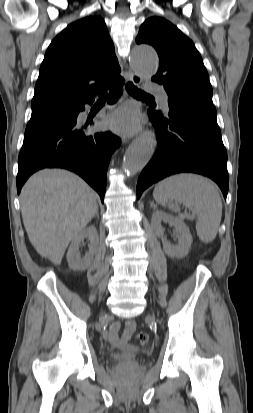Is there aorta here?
<instances>
[{"label":"aorta","mask_w":253,"mask_h":413,"mask_svg":"<svg viewBox=\"0 0 253 413\" xmlns=\"http://www.w3.org/2000/svg\"><path fill=\"white\" fill-rule=\"evenodd\" d=\"M131 65L141 76L151 77L157 72L158 56L151 46L139 44L132 49ZM155 145L156 141L152 134L136 140L125 153L123 168L130 174L141 171L151 159Z\"/></svg>","instance_id":"762f6f07"}]
</instances>
